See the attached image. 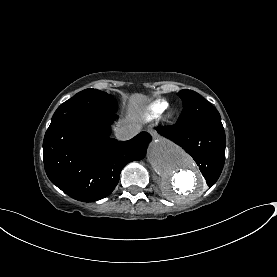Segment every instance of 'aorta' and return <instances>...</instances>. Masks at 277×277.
<instances>
[{
  "instance_id": "762f6f07",
  "label": "aorta",
  "mask_w": 277,
  "mask_h": 277,
  "mask_svg": "<svg viewBox=\"0 0 277 277\" xmlns=\"http://www.w3.org/2000/svg\"><path fill=\"white\" fill-rule=\"evenodd\" d=\"M149 162L159 175L164 196L176 203H187L200 197L205 180L192 158L174 143L157 138L148 152Z\"/></svg>"
}]
</instances>
